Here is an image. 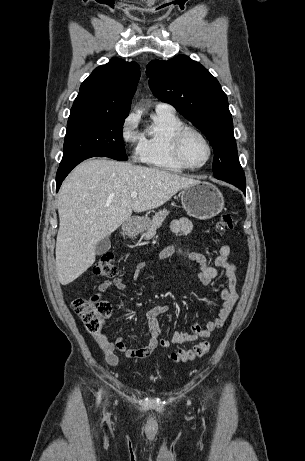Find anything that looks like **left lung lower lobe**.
<instances>
[{"mask_svg": "<svg viewBox=\"0 0 305 461\" xmlns=\"http://www.w3.org/2000/svg\"><path fill=\"white\" fill-rule=\"evenodd\" d=\"M231 184H233V183H231ZM233 185H235V184H233ZM235 186H237L238 188H240V189L244 192V194H245V192H246V184H245V185H238V184H236Z\"/></svg>", "mask_w": 305, "mask_h": 461, "instance_id": "1", "label": "left lung lower lobe"}]
</instances>
